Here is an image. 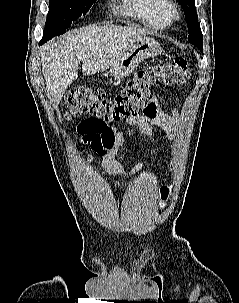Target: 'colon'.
Here are the masks:
<instances>
[{
  "label": "colon",
  "instance_id": "colon-1",
  "mask_svg": "<svg viewBox=\"0 0 239 303\" xmlns=\"http://www.w3.org/2000/svg\"><path fill=\"white\" fill-rule=\"evenodd\" d=\"M189 77L190 69L184 58H176L168 63L145 65L127 82L123 90L112 98L97 88L80 87L68 92L65 97L66 116L70 118L82 114L95 115L97 119L91 128L94 132H100L109 122L135 117L148 98L152 86L182 85ZM169 193V188H163L161 199L166 200Z\"/></svg>",
  "mask_w": 239,
  "mask_h": 303
}]
</instances>
